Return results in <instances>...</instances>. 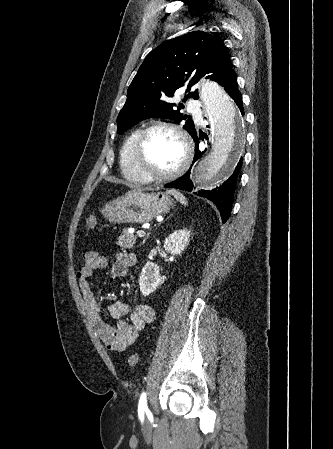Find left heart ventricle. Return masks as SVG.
I'll return each mask as SVG.
<instances>
[{"label": "left heart ventricle", "mask_w": 333, "mask_h": 449, "mask_svg": "<svg viewBox=\"0 0 333 449\" xmlns=\"http://www.w3.org/2000/svg\"><path fill=\"white\" fill-rule=\"evenodd\" d=\"M183 159V148L174 134L155 130L144 145L142 165L152 174L161 175L173 171Z\"/></svg>", "instance_id": "left-heart-ventricle-1"}]
</instances>
